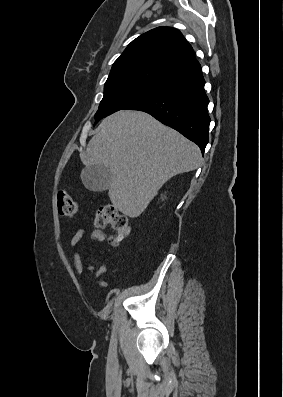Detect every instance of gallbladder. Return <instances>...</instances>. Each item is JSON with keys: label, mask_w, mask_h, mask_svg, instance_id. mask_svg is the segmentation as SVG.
<instances>
[{"label": "gallbladder", "mask_w": 283, "mask_h": 397, "mask_svg": "<svg viewBox=\"0 0 283 397\" xmlns=\"http://www.w3.org/2000/svg\"><path fill=\"white\" fill-rule=\"evenodd\" d=\"M111 171L105 165H91L85 167L81 172L83 185L90 191L102 192L110 187Z\"/></svg>", "instance_id": "bac80fb5"}]
</instances>
